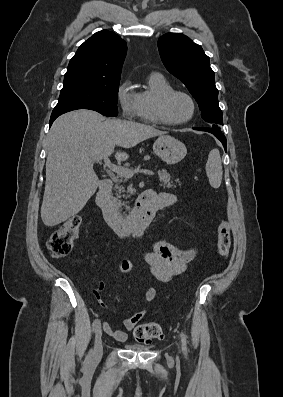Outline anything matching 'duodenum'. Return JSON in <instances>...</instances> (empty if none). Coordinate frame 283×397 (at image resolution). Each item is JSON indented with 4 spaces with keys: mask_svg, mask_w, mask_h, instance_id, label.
<instances>
[{
    "mask_svg": "<svg viewBox=\"0 0 283 397\" xmlns=\"http://www.w3.org/2000/svg\"><path fill=\"white\" fill-rule=\"evenodd\" d=\"M112 186L113 183L110 179H104L99 185L96 196V204L101 210L104 220L118 236L142 233L160 209L151 190L143 191L137 197L129 215L123 217L111 202Z\"/></svg>",
    "mask_w": 283,
    "mask_h": 397,
    "instance_id": "duodenum-1",
    "label": "duodenum"
}]
</instances>
